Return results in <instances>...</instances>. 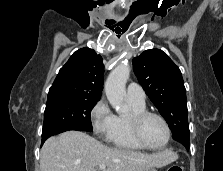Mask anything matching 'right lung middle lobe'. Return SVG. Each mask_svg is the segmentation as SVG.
Masks as SVG:
<instances>
[{"mask_svg":"<svg viewBox=\"0 0 223 171\" xmlns=\"http://www.w3.org/2000/svg\"><path fill=\"white\" fill-rule=\"evenodd\" d=\"M99 99L65 96L48 99L45 112L42 138L51 136L56 129L75 126L84 131H93L90 114Z\"/></svg>","mask_w":223,"mask_h":171,"instance_id":"dd1d6c3e","label":"right lung middle lobe"}]
</instances>
